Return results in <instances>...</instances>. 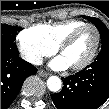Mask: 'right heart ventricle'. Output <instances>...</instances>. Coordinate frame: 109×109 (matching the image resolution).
Segmentation results:
<instances>
[{
  "label": "right heart ventricle",
  "instance_id": "1",
  "mask_svg": "<svg viewBox=\"0 0 109 109\" xmlns=\"http://www.w3.org/2000/svg\"><path fill=\"white\" fill-rule=\"evenodd\" d=\"M86 22L78 19H71L53 24H44L37 28L44 30L51 42L57 47L76 28Z\"/></svg>",
  "mask_w": 109,
  "mask_h": 109
}]
</instances>
